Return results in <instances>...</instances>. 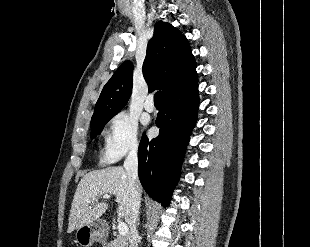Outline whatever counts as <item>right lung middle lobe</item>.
Instances as JSON below:
<instances>
[{
    "instance_id": "obj_1",
    "label": "right lung middle lobe",
    "mask_w": 310,
    "mask_h": 247,
    "mask_svg": "<svg viewBox=\"0 0 310 247\" xmlns=\"http://www.w3.org/2000/svg\"><path fill=\"white\" fill-rule=\"evenodd\" d=\"M113 116L103 117L91 123V138H95L97 134H100L105 124L112 118Z\"/></svg>"
}]
</instances>
